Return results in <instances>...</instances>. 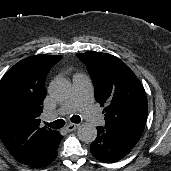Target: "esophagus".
I'll return each mask as SVG.
<instances>
[{"label":"esophagus","mask_w":171,"mask_h":171,"mask_svg":"<svg viewBox=\"0 0 171 171\" xmlns=\"http://www.w3.org/2000/svg\"><path fill=\"white\" fill-rule=\"evenodd\" d=\"M78 127H79L78 124L70 123V124H68V125L65 127V129H66L68 132H71V131L76 130Z\"/></svg>","instance_id":"obj_1"}]
</instances>
